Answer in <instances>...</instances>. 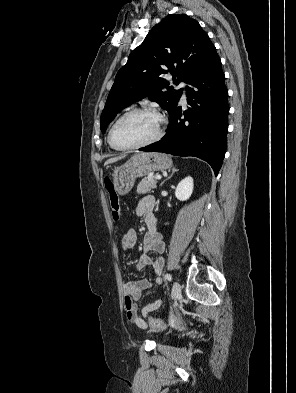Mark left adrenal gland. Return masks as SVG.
<instances>
[{"label":"left adrenal gland","mask_w":296,"mask_h":393,"mask_svg":"<svg viewBox=\"0 0 296 393\" xmlns=\"http://www.w3.org/2000/svg\"><path fill=\"white\" fill-rule=\"evenodd\" d=\"M177 171H178V169L173 168V169H172L171 175H170L169 177H167L164 181H162V183L160 184V187L165 183V181H167L168 179H170V178L174 175V173L177 172Z\"/></svg>","instance_id":"obj_1"}]
</instances>
